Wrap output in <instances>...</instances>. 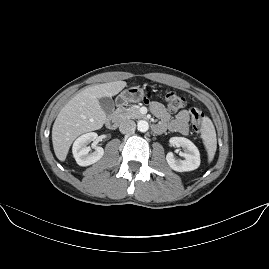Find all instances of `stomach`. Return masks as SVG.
Here are the masks:
<instances>
[{
	"label": "stomach",
	"mask_w": 269,
	"mask_h": 269,
	"mask_svg": "<svg viewBox=\"0 0 269 269\" xmlns=\"http://www.w3.org/2000/svg\"><path fill=\"white\" fill-rule=\"evenodd\" d=\"M142 96H143V89L141 88L132 87L129 89H125L117 97V104L119 106H122L129 102H137L141 100Z\"/></svg>",
	"instance_id": "1"
}]
</instances>
